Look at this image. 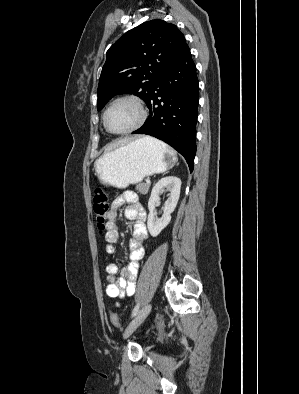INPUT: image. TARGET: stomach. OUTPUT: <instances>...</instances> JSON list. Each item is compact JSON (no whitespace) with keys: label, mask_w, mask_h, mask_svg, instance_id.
<instances>
[{"label":"stomach","mask_w":299,"mask_h":394,"mask_svg":"<svg viewBox=\"0 0 299 394\" xmlns=\"http://www.w3.org/2000/svg\"><path fill=\"white\" fill-rule=\"evenodd\" d=\"M176 161V154L169 148L143 137L104 153L95 161L94 171L103 184L125 188L146 176L165 172Z\"/></svg>","instance_id":"1"}]
</instances>
